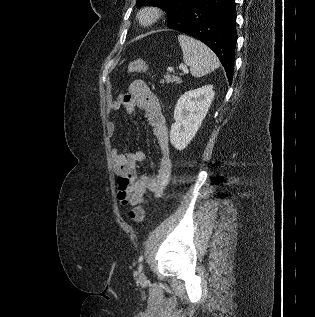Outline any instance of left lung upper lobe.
<instances>
[{
  "mask_svg": "<svg viewBox=\"0 0 315 317\" xmlns=\"http://www.w3.org/2000/svg\"><path fill=\"white\" fill-rule=\"evenodd\" d=\"M195 0H137V6H158L168 13V27L183 19L187 9Z\"/></svg>",
  "mask_w": 315,
  "mask_h": 317,
  "instance_id": "5c2ea615",
  "label": "left lung upper lobe"
}]
</instances>
